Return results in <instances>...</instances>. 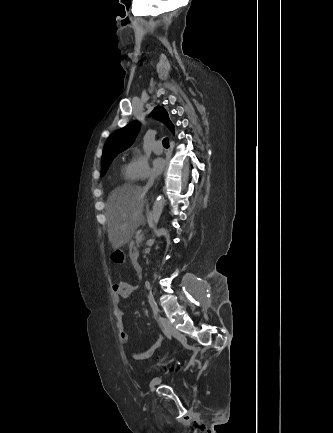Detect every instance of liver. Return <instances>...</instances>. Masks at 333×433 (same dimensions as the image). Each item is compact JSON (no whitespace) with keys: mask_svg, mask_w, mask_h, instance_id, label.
<instances>
[{"mask_svg":"<svg viewBox=\"0 0 333 433\" xmlns=\"http://www.w3.org/2000/svg\"><path fill=\"white\" fill-rule=\"evenodd\" d=\"M145 187L124 184L114 189L107 200L105 217L108 238L114 250L126 245L144 223Z\"/></svg>","mask_w":333,"mask_h":433,"instance_id":"liver-1","label":"liver"}]
</instances>
